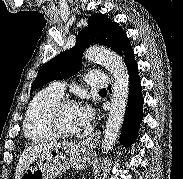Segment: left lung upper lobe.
<instances>
[{"instance_id":"left-lung-upper-lobe-1","label":"left lung upper lobe","mask_w":183,"mask_h":179,"mask_svg":"<svg viewBox=\"0 0 183 179\" xmlns=\"http://www.w3.org/2000/svg\"><path fill=\"white\" fill-rule=\"evenodd\" d=\"M88 22V27L79 32L73 48L60 53L42 66L32 83L31 92L52 80L73 76L81 69L82 54L90 45H104L116 51L125 35L122 28L112 22L106 14L101 13L91 15Z\"/></svg>"}]
</instances>
